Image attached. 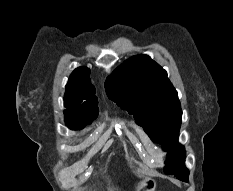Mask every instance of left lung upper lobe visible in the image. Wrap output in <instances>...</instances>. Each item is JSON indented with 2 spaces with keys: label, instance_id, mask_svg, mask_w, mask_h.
Listing matches in <instances>:
<instances>
[{
  "label": "left lung upper lobe",
  "instance_id": "obj_1",
  "mask_svg": "<svg viewBox=\"0 0 233 191\" xmlns=\"http://www.w3.org/2000/svg\"><path fill=\"white\" fill-rule=\"evenodd\" d=\"M105 88L108 97L168 151L165 172L176 177L189 175L184 147L178 144L181 106L166 71L149 56L136 55L108 76Z\"/></svg>",
  "mask_w": 233,
  "mask_h": 191
}]
</instances>
